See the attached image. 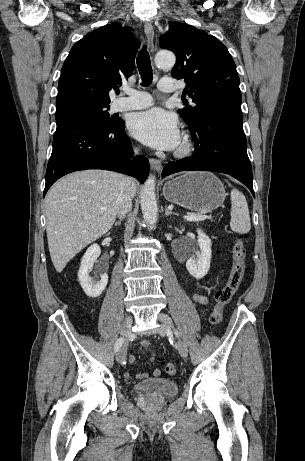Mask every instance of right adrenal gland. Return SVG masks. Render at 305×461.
<instances>
[{
	"instance_id": "right-adrenal-gland-1",
	"label": "right adrenal gland",
	"mask_w": 305,
	"mask_h": 461,
	"mask_svg": "<svg viewBox=\"0 0 305 461\" xmlns=\"http://www.w3.org/2000/svg\"><path fill=\"white\" fill-rule=\"evenodd\" d=\"M120 224H121V220L115 222V226L120 225Z\"/></svg>"
}]
</instances>
